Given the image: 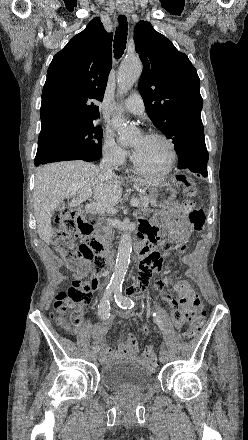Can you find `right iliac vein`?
<instances>
[{
    "instance_id": "63e3f726",
    "label": "right iliac vein",
    "mask_w": 248,
    "mask_h": 440,
    "mask_svg": "<svg viewBox=\"0 0 248 440\" xmlns=\"http://www.w3.org/2000/svg\"><path fill=\"white\" fill-rule=\"evenodd\" d=\"M91 359L92 360H96V358H97V353L95 352V351H93L92 353H91Z\"/></svg>"
}]
</instances>
